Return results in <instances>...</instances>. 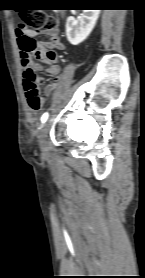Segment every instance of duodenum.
<instances>
[{"instance_id": "obj_1", "label": "duodenum", "mask_w": 145, "mask_h": 278, "mask_svg": "<svg viewBox=\"0 0 145 278\" xmlns=\"http://www.w3.org/2000/svg\"><path fill=\"white\" fill-rule=\"evenodd\" d=\"M53 91H54V89L49 90V91H46V92H45V95H46V96H51L52 93H53Z\"/></svg>"}]
</instances>
